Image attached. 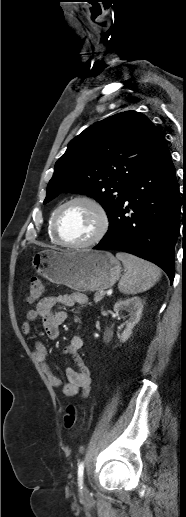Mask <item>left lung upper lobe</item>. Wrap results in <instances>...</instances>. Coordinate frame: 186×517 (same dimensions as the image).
<instances>
[{
	"label": "left lung upper lobe",
	"instance_id": "5c2ea615",
	"mask_svg": "<svg viewBox=\"0 0 186 517\" xmlns=\"http://www.w3.org/2000/svg\"><path fill=\"white\" fill-rule=\"evenodd\" d=\"M163 141L157 127L136 111L94 123L71 140L57 160L44 204L61 192L87 194L110 219L124 202L129 182Z\"/></svg>",
	"mask_w": 186,
	"mask_h": 517
}]
</instances>
